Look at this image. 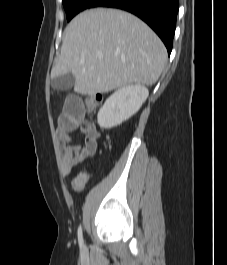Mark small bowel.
<instances>
[{
	"label": "small bowel",
	"mask_w": 227,
	"mask_h": 265,
	"mask_svg": "<svg viewBox=\"0 0 227 265\" xmlns=\"http://www.w3.org/2000/svg\"><path fill=\"white\" fill-rule=\"evenodd\" d=\"M67 99H63V113L58 120L57 138L63 156V170L70 174L73 168L87 158L95 156L100 133L96 125L85 119L86 105L77 91H66ZM85 134V145H71V135L75 131ZM89 179L87 172L78 173L71 181L74 192H81Z\"/></svg>",
	"instance_id": "1"
}]
</instances>
